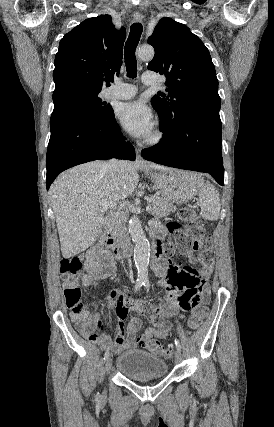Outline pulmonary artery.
Segmentation results:
<instances>
[{
    "instance_id": "e3ab8cb5",
    "label": "pulmonary artery",
    "mask_w": 274,
    "mask_h": 427,
    "mask_svg": "<svg viewBox=\"0 0 274 427\" xmlns=\"http://www.w3.org/2000/svg\"><path fill=\"white\" fill-rule=\"evenodd\" d=\"M142 82L145 85H153L155 83L153 77L151 76L146 78L142 77ZM137 92L138 89L135 85L116 82L106 90L105 97L108 100L128 99L135 96Z\"/></svg>"
}]
</instances>
